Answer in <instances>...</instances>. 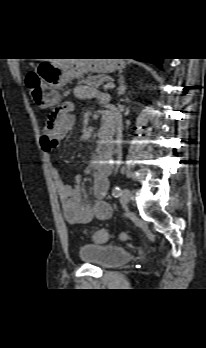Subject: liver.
<instances>
[{
    "instance_id": "liver-1",
    "label": "liver",
    "mask_w": 206,
    "mask_h": 348,
    "mask_svg": "<svg viewBox=\"0 0 206 348\" xmlns=\"http://www.w3.org/2000/svg\"><path fill=\"white\" fill-rule=\"evenodd\" d=\"M62 61H67V60H59L58 62H62Z\"/></svg>"
}]
</instances>
